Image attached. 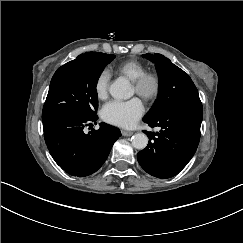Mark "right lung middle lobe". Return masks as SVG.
Wrapping results in <instances>:
<instances>
[{
  "label": "right lung middle lobe",
  "mask_w": 243,
  "mask_h": 243,
  "mask_svg": "<svg viewBox=\"0 0 243 243\" xmlns=\"http://www.w3.org/2000/svg\"><path fill=\"white\" fill-rule=\"evenodd\" d=\"M114 58L115 55L101 53L89 59L70 61L58 68L43 107V123L66 114L95 117L98 78Z\"/></svg>",
  "instance_id": "right-lung-middle-lobe-1"
}]
</instances>
